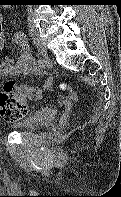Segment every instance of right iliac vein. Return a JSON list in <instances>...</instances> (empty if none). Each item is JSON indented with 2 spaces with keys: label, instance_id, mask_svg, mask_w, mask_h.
<instances>
[{
  "label": "right iliac vein",
  "instance_id": "63e3f726",
  "mask_svg": "<svg viewBox=\"0 0 121 197\" xmlns=\"http://www.w3.org/2000/svg\"><path fill=\"white\" fill-rule=\"evenodd\" d=\"M30 34L37 46V48L39 49L40 53L44 56L47 57V49L46 46L44 44V42L42 41V39L39 36L38 31L36 30V28L31 27L30 28Z\"/></svg>",
  "mask_w": 121,
  "mask_h": 197
}]
</instances>
